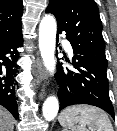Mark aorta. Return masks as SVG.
I'll return each instance as SVG.
<instances>
[{
    "label": "aorta",
    "mask_w": 117,
    "mask_h": 131,
    "mask_svg": "<svg viewBox=\"0 0 117 131\" xmlns=\"http://www.w3.org/2000/svg\"><path fill=\"white\" fill-rule=\"evenodd\" d=\"M57 24L55 18L45 15L39 25V49L46 70L53 75L56 68L55 43ZM59 110V101L55 96H49L42 108L43 116L46 120H53Z\"/></svg>",
    "instance_id": "1"
}]
</instances>
